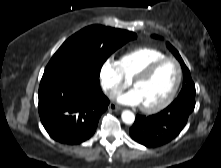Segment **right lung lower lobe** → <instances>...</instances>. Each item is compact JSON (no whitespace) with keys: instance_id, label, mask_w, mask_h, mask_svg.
Listing matches in <instances>:
<instances>
[{"instance_id":"1","label":"right lung lower lobe","mask_w":221,"mask_h":168,"mask_svg":"<svg viewBox=\"0 0 221 168\" xmlns=\"http://www.w3.org/2000/svg\"><path fill=\"white\" fill-rule=\"evenodd\" d=\"M38 97L44 128L64 144L89 139L109 105L100 89L99 75L81 65L47 66Z\"/></svg>"}]
</instances>
